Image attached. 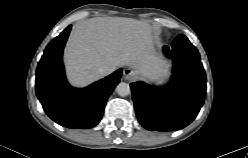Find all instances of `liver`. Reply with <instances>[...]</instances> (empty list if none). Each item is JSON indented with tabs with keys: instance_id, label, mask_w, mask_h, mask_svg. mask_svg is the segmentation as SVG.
Here are the masks:
<instances>
[{
	"instance_id": "1",
	"label": "liver",
	"mask_w": 248,
	"mask_h": 158,
	"mask_svg": "<svg viewBox=\"0 0 248 158\" xmlns=\"http://www.w3.org/2000/svg\"><path fill=\"white\" fill-rule=\"evenodd\" d=\"M151 26L125 17H96L77 23L67 42L64 58L70 82L86 86L102 76L99 68L112 72L130 66L142 75L157 80L167 74L155 51Z\"/></svg>"
}]
</instances>
